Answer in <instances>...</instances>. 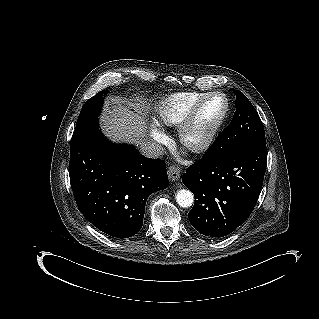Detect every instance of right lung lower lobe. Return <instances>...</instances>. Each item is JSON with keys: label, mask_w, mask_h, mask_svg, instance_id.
Segmentation results:
<instances>
[{"label": "right lung lower lobe", "mask_w": 319, "mask_h": 319, "mask_svg": "<svg viewBox=\"0 0 319 319\" xmlns=\"http://www.w3.org/2000/svg\"><path fill=\"white\" fill-rule=\"evenodd\" d=\"M69 176L83 216L116 238L135 235L148 196L168 186L162 160L146 158L132 145L112 144L100 131L98 117L74 130Z\"/></svg>", "instance_id": "98d812e1"}]
</instances>
